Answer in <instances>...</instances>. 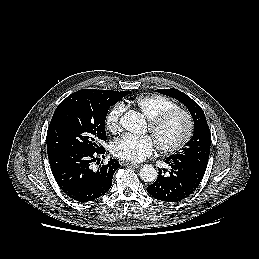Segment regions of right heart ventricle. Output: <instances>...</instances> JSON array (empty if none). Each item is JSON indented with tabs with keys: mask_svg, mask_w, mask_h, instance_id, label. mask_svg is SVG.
<instances>
[{
	"mask_svg": "<svg viewBox=\"0 0 259 259\" xmlns=\"http://www.w3.org/2000/svg\"><path fill=\"white\" fill-rule=\"evenodd\" d=\"M134 103L148 120L153 119L166 110L178 107L170 98L157 94L139 96L135 99Z\"/></svg>",
	"mask_w": 259,
	"mask_h": 259,
	"instance_id": "1",
	"label": "right heart ventricle"
}]
</instances>
